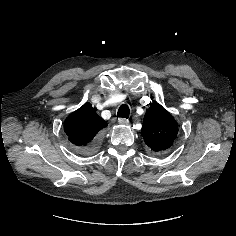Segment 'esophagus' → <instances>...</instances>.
Returning <instances> with one entry per match:
<instances>
[{"label":"esophagus","instance_id":"esophagus-1","mask_svg":"<svg viewBox=\"0 0 236 236\" xmlns=\"http://www.w3.org/2000/svg\"><path fill=\"white\" fill-rule=\"evenodd\" d=\"M118 123L121 125H128L129 121L126 118H119Z\"/></svg>","mask_w":236,"mask_h":236}]
</instances>
